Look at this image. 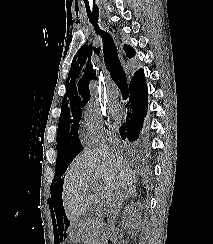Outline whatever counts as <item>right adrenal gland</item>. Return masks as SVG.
<instances>
[{
	"label": "right adrenal gland",
	"mask_w": 213,
	"mask_h": 244,
	"mask_svg": "<svg viewBox=\"0 0 213 244\" xmlns=\"http://www.w3.org/2000/svg\"><path fill=\"white\" fill-rule=\"evenodd\" d=\"M137 196V193H136V188H135V186L134 187H131V188H129L125 193H124V195H123V199H122V202H124V201H126L127 199H129V198H133V197H136ZM122 202H121V204H120V207H121V205H122ZM119 207V208H120Z\"/></svg>",
	"instance_id": "right-adrenal-gland-1"
}]
</instances>
